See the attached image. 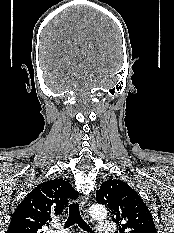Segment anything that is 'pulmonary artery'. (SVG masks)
<instances>
[{
  "label": "pulmonary artery",
  "instance_id": "e3ab8cb5",
  "mask_svg": "<svg viewBox=\"0 0 174 233\" xmlns=\"http://www.w3.org/2000/svg\"><path fill=\"white\" fill-rule=\"evenodd\" d=\"M116 230L115 224L110 221H101L98 224L99 233H114ZM54 233H67L66 230H57Z\"/></svg>",
  "mask_w": 174,
  "mask_h": 233
}]
</instances>
